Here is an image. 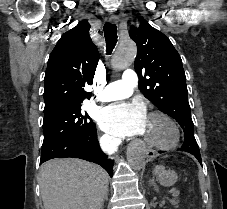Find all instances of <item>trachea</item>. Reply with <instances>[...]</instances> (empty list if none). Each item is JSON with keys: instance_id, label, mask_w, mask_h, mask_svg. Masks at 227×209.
I'll return each instance as SVG.
<instances>
[{"instance_id": "obj_1", "label": "trachea", "mask_w": 227, "mask_h": 209, "mask_svg": "<svg viewBox=\"0 0 227 209\" xmlns=\"http://www.w3.org/2000/svg\"><path fill=\"white\" fill-rule=\"evenodd\" d=\"M106 40L107 54H111L117 42V27L115 24L106 22L103 27Z\"/></svg>"}]
</instances>
